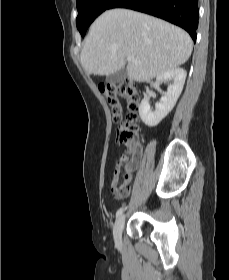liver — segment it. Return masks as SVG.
<instances>
[{
  "label": "liver",
  "instance_id": "obj_1",
  "mask_svg": "<svg viewBox=\"0 0 229 280\" xmlns=\"http://www.w3.org/2000/svg\"><path fill=\"white\" fill-rule=\"evenodd\" d=\"M192 39L183 29L128 9L102 13L92 24L81 51L87 75H110L124 68L131 80L149 81L184 64L192 52Z\"/></svg>",
  "mask_w": 229,
  "mask_h": 280
}]
</instances>
